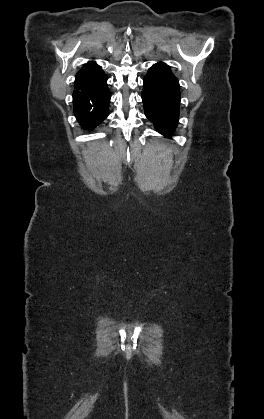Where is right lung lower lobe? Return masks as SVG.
Masks as SVG:
<instances>
[{
    "label": "right lung lower lobe",
    "mask_w": 264,
    "mask_h": 419,
    "mask_svg": "<svg viewBox=\"0 0 264 419\" xmlns=\"http://www.w3.org/2000/svg\"><path fill=\"white\" fill-rule=\"evenodd\" d=\"M110 98L104 73L90 82L75 83L74 114L84 129L92 130L107 118Z\"/></svg>",
    "instance_id": "obj_1"
}]
</instances>
